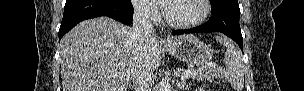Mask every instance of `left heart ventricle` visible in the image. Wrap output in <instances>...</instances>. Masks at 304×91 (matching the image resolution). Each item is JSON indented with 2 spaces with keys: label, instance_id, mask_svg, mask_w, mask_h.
Segmentation results:
<instances>
[{
  "label": "left heart ventricle",
  "instance_id": "b2bd125f",
  "mask_svg": "<svg viewBox=\"0 0 304 91\" xmlns=\"http://www.w3.org/2000/svg\"><path fill=\"white\" fill-rule=\"evenodd\" d=\"M203 7L199 0H175L167 4L170 18L177 22H191L202 14Z\"/></svg>",
  "mask_w": 304,
  "mask_h": 91
}]
</instances>
